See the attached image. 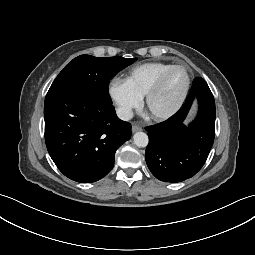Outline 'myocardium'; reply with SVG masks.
<instances>
[{"instance_id": "f54148a6", "label": "myocardium", "mask_w": 255, "mask_h": 255, "mask_svg": "<svg viewBox=\"0 0 255 255\" xmlns=\"http://www.w3.org/2000/svg\"><path fill=\"white\" fill-rule=\"evenodd\" d=\"M176 69H183L187 75V83H186V86L184 88L182 95L180 96V98L176 102V104L168 111L163 112V113L153 112L150 108L152 99L160 92V90L162 89L168 76ZM191 82H192V79H191L190 71L184 65H174L171 68H169L168 70H166L164 73H162L161 76L156 80V82L153 84V86L149 89V91L145 95V104H146L147 109L152 114V116L158 120H165V119H168V118L174 116L181 109L183 104L185 103L187 96L189 94L190 88H191Z\"/></svg>"}]
</instances>
